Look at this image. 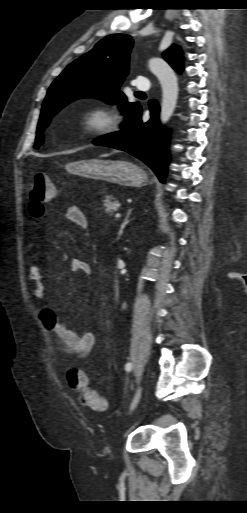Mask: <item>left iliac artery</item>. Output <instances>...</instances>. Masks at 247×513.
<instances>
[{
  "mask_svg": "<svg viewBox=\"0 0 247 513\" xmlns=\"http://www.w3.org/2000/svg\"><path fill=\"white\" fill-rule=\"evenodd\" d=\"M125 369H126V371H131V370H132V363H130V362H129V363H127V364L125 365Z\"/></svg>",
  "mask_w": 247,
  "mask_h": 513,
  "instance_id": "obj_1",
  "label": "left iliac artery"
}]
</instances>
